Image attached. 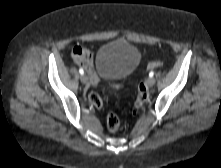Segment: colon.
<instances>
[{
    "mask_svg": "<svg viewBox=\"0 0 221 168\" xmlns=\"http://www.w3.org/2000/svg\"><path fill=\"white\" fill-rule=\"evenodd\" d=\"M163 63L161 61H151L148 63V69H156L162 67ZM114 89H119V85H114ZM148 100V91L145 82H141L138 86V94L134 103V112L141 109L144 103ZM89 101L97 109H101L103 106L102 98L97 93H92L89 96ZM107 127L110 131L115 132L120 128V120L118 116L114 113H109L106 118Z\"/></svg>",
    "mask_w": 221,
    "mask_h": 168,
    "instance_id": "obj_1",
    "label": "colon"
}]
</instances>
